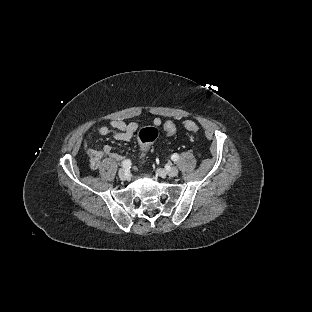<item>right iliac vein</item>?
<instances>
[{
    "instance_id": "63e3f726",
    "label": "right iliac vein",
    "mask_w": 312,
    "mask_h": 312,
    "mask_svg": "<svg viewBox=\"0 0 312 312\" xmlns=\"http://www.w3.org/2000/svg\"><path fill=\"white\" fill-rule=\"evenodd\" d=\"M118 175H119V178H120L122 181H127V180L130 179V175H129V173H128V170L125 169V168L120 169Z\"/></svg>"
}]
</instances>
